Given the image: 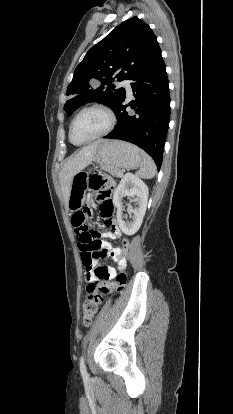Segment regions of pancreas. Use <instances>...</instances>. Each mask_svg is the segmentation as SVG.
<instances>
[{"instance_id": "obj_1", "label": "pancreas", "mask_w": 233, "mask_h": 414, "mask_svg": "<svg viewBox=\"0 0 233 414\" xmlns=\"http://www.w3.org/2000/svg\"><path fill=\"white\" fill-rule=\"evenodd\" d=\"M110 174L116 176V177H122L121 171L120 170H113V171H109Z\"/></svg>"}]
</instances>
